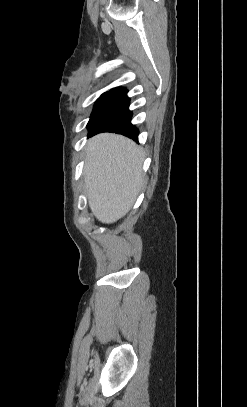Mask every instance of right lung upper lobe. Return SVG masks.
I'll return each instance as SVG.
<instances>
[{"instance_id": "1", "label": "right lung upper lobe", "mask_w": 247, "mask_h": 407, "mask_svg": "<svg viewBox=\"0 0 247 407\" xmlns=\"http://www.w3.org/2000/svg\"><path fill=\"white\" fill-rule=\"evenodd\" d=\"M114 90H126L125 88H114V89H112V90H110V91H114ZM109 92V91H108Z\"/></svg>"}]
</instances>
